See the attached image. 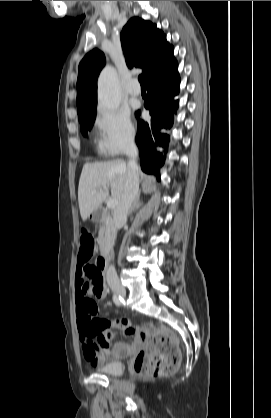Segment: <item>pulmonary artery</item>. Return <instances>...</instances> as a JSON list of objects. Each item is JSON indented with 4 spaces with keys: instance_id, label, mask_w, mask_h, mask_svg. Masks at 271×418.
I'll return each mask as SVG.
<instances>
[{
    "instance_id": "obj_1",
    "label": "pulmonary artery",
    "mask_w": 271,
    "mask_h": 418,
    "mask_svg": "<svg viewBox=\"0 0 271 418\" xmlns=\"http://www.w3.org/2000/svg\"><path fill=\"white\" fill-rule=\"evenodd\" d=\"M128 93H129V95H131V96H134V97H136V96H139L140 95V93H141V90H140V87L138 86V84H137V81L136 80H132L131 82H130V84H129V86H128Z\"/></svg>"
}]
</instances>
